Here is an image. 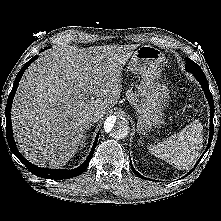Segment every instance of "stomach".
<instances>
[{
    "instance_id": "0dacf381",
    "label": "stomach",
    "mask_w": 221,
    "mask_h": 221,
    "mask_svg": "<svg viewBox=\"0 0 221 221\" xmlns=\"http://www.w3.org/2000/svg\"><path fill=\"white\" fill-rule=\"evenodd\" d=\"M165 55L160 49L150 46H140L133 54L130 70L140 75L142 80L138 85L141 97L137 111V129L145 133L163 123V104L169 98L167 86L159 81Z\"/></svg>"
}]
</instances>
